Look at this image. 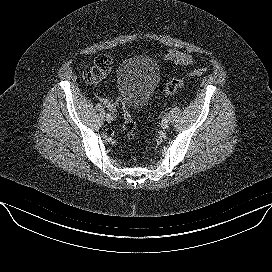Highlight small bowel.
<instances>
[{
    "mask_svg": "<svg viewBox=\"0 0 272 272\" xmlns=\"http://www.w3.org/2000/svg\"><path fill=\"white\" fill-rule=\"evenodd\" d=\"M165 58L180 66H189L195 61L193 54L187 52H179L175 50L167 51L165 53Z\"/></svg>",
    "mask_w": 272,
    "mask_h": 272,
    "instance_id": "1",
    "label": "small bowel"
}]
</instances>
